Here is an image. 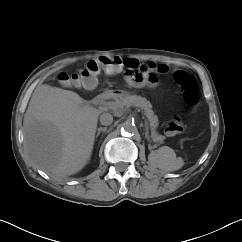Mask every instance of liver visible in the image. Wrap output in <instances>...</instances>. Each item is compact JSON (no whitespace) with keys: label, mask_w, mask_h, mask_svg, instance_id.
Returning a JSON list of instances; mask_svg holds the SVG:
<instances>
[{"label":"liver","mask_w":242,"mask_h":242,"mask_svg":"<svg viewBox=\"0 0 242 242\" xmlns=\"http://www.w3.org/2000/svg\"><path fill=\"white\" fill-rule=\"evenodd\" d=\"M99 114L73 91L38 85L23 121L32 163L56 178L79 172L91 158Z\"/></svg>","instance_id":"obj_1"}]
</instances>
